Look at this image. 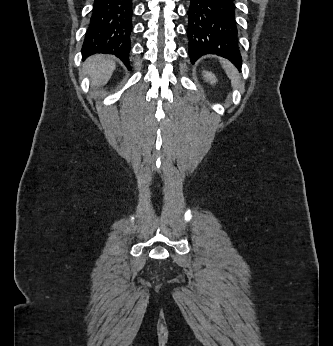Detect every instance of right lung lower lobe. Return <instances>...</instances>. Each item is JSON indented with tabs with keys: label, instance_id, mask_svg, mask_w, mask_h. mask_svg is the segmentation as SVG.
Here are the masks:
<instances>
[{
	"label": "right lung lower lobe",
	"instance_id": "98d812e1",
	"mask_svg": "<svg viewBox=\"0 0 333 346\" xmlns=\"http://www.w3.org/2000/svg\"><path fill=\"white\" fill-rule=\"evenodd\" d=\"M133 10L132 0H94L83 59L96 53L113 54L129 67Z\"/></svg>",
	"mask_w": 333,
	"mask_h": 346
}]
</instances>
